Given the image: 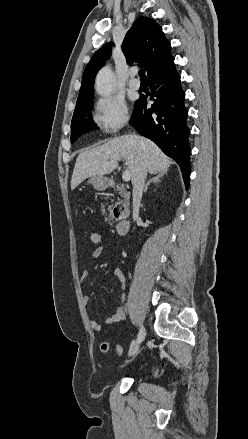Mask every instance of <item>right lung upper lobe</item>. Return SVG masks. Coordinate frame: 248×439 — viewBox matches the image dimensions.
Here are the masks:
<instances>
[{
  "label": "right lung upper lobe",
  "instance_id": "right-lung-upper-lobe-1",
  "mask_svg": "<svg viewBox=\"0 0 248 439\" xmlns=\"http://www.w3.org/2000/svg\"><path fill=\"white\" fill-rule=\"evenodd\" d=\"M112 43H107L95 52L86 66L76 108L93 97V83L100 66L109 58ZM122 50L128 62H139L148 77L174 63L171 44L164 36L162 28L154 20L139 17L127 32Z\"/></svg>",
  "mask_w": 248,
  "mask_h": 439
}]
</instances>
